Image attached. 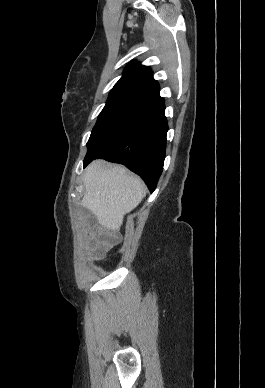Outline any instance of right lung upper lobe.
Instances as JSON below:
<instances>
[{
    "mask_svg": "<svg viewBox=\"0 0 265 388\" xmlns=\"http://www.w3.org/2000/svg\"><path fill=\"white\" fill-rule=\"evenodd\" d=\"M110 94L129 95L150 102L159 97V84L148 66L131 62Z\"/></svg>",
    "mask_w": 265,
    "mask_h": 388,
    "instance_id": "cb5924a9",
    "label": "right lung upper lobe"
}]
</instances>
